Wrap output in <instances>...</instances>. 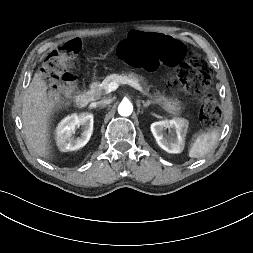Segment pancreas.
Returning a JSON list of instances; mask_svg holds the SVG:
<instances>
[{
    "instance_id": "pancreas-1",
    "label": "pancreas",
    "mask_w": 253,
    "mask_h": 253,
    "mask_svg": "<svg viewBox=\"0 0 253 253\" xmlns=\"http://www.w3.org/2000/svg\"><path fill=\"white\" fill-rule=\"evenodd\" d=\"M124 80H131L134 81L136 83H139L138 78L133 75V74H129V75H119V74H111L108 75L101 84L98 85L97 89H96V94L97 95H102V94H108L109 88L108 85L111 82H117V83H121ZM145 95L153 98L149 93H148V89H145L142 91ZM154 103H158L159 105H161L166 111L169 112H177L179 113L181 111V107L178 105V103L176 101L167 99L164 96L158 95L154 97Z\"/></svg>"
}]
</instances>
